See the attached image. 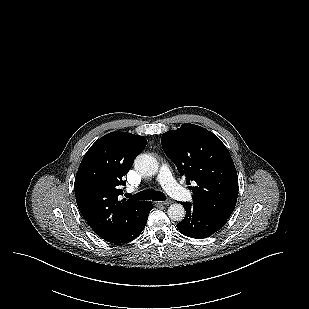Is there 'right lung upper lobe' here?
Instances as JSON below:
<instances>
[{
  "label": "right lung upper lobe",
  "mask_w": 309,
  "mask_h": 309,
  "mask_svg": "<svg viewBox=\"0 0 309 309\" xmlns=\"http://www.w3.org/2000/svg\"><path fill=\"white\" fill-rule=\"evenodd\" d=\"M147 140L111 132L97 140L82 159L74 183L78 208L102 239L122 232L137 219L146 202L120 200L124 176Z\"/></svg>",
  "instance_id": "obj_1"
}]
</instances>
